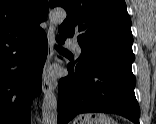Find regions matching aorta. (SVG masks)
I'll return each mask as SVG.
<instances>
[{"label": "aorta", "instance_id": "762f6f07", "mask_svg": "<svg viewBox=\"0 0 156 124\" xmlns=\"http://www.w3.org/2000/svg\"><path fill=\"white\" fill-rule=\"evenodd\" d=\"M67 14L64 9H53L49 13L50 23L60 25L65 20ZM58 105L55 94L47 91L42 103V120L43 124H57L58 121Z\"/></svg>", "mask_w": 156, "mask_h": 124}]
</instances>
